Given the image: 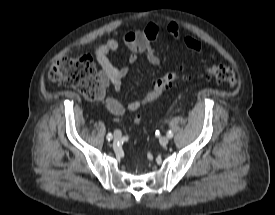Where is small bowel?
Returning <instances> with one entry per match:
<instances>
[{"mask_svg":"<svg viewBox=\"0 0 275 215\" xmlns=\"http://www.w3.org/2000/svg\"><path fill=\"white\" fill-rule=\"evenodd\" d=\"M167 33L173 39H178L180 36L179 26L176 22L171 21L167 25ZM158 36V26L154 22L148 23L142 29L126 30L122 34V41L129 49V63L134 64L137 62L140 55H144L147 61L152 66H158L160 64V58L153 48V44ZM185 46L194 51L200 52L203 44L202 41L193 36L186 35L183 38ZM119 42L115 38H108L103 44L99 45L95 51L96 60L100 66L99 78L102 86L109 90L112 87L118 91L122 87V83L126 75L128 74V67H117L109 59L110 53H115L119 50ZM208 52L210 56L215 57L213 49L209 48ZM105 105L107 109L116 116H121L125 112L124 105L112 96H107L105 99ZM140 102L138 100L130 101L127 108L130 111H134L139 108Z\"/></svg>","mask_w":275,"mask_h":215,"instance_id":"c3829d8e","label":"small bowel"}]
</instances>
